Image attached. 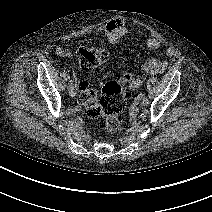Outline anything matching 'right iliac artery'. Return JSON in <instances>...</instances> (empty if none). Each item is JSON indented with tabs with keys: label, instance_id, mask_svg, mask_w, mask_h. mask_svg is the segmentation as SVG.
<instances>
[{
	"label": "right iliac artery",
	"instance_id": "1",
	"mask_svg": "<svg viewBox=\"0 0 212 212\" xmlns=\"http://www.w3.org/2000/svg\"><path fill=\"white\" fill-rule=\"evenodd\" d=\"M72 80L70 81V85L68 86V89H71L73 86H72Z\"/></svg>",
	"mask_w": 212,
	"mask_h": 212
}]
</instances>
